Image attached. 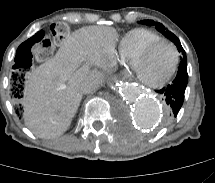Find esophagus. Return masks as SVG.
Masks as SVG:
<instances>
[{
  "mask_svg": "<svg viewBox=\"0 0 215 183\" xmlns=\"http://www.w3.org/2000/svg\"><path fill=\"white\" fill-rule=\"evenodd\" d=\"M124 76H125V77H128L129 75H128V74H125Z\"/></svg>",
  "mask_w": 215,
  "mask_h": 183,
  "instance_id": "obj_1",
  "label": "esophagus"
}]
</instances>
